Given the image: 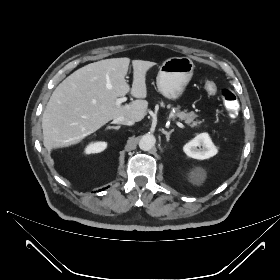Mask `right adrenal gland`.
<instances>
[{
	"instance_id": "right-adrenal-gland-1",
	"label": "right adrenal gland",
	"mask_w": 280,
	"mask_h": 280,
	"mask_svg": "<svg viewBox=\"0 0 280 280\" xmlns=\"http://www.w3.org/2000/svg\"><path fill=\"white\" fill-rule=\"evenodd\" d=\"M121 126H108L106 130L114 129V130H119Z\"/></svg>"
}]
</instances>
